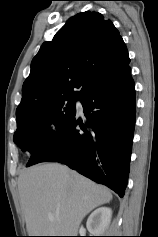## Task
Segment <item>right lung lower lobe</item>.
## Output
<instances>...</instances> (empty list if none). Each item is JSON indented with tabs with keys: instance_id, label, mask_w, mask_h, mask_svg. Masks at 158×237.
<instances>
[{
	"instance_id": "98d812e1",
	"label": "right lung lower lobe",
	"mask_w": 158,
	"mask_h": 237,
	"mask_svg": "<svg viewBox=\"0 0 158 237\" xmlns=\"http://www.w3.org/2000/svg\"><path fill=\"white\" fill-rule=\"evenodd\" d=\"M81 101L86 121L83 123L75 114L40 146L27 166L64 163L122 197L136 117L131 68L127 65L98 84Z\"/></svg>"
}]
</instances>
